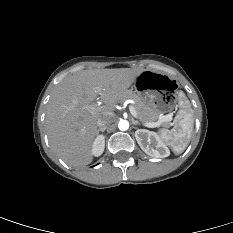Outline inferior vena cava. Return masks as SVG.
<instances>
[{
  "mask_svg": "<svg viewBox=\"0 0 233 233\" xmlns=\"http://www.w3.org/2000/svg\"><path fill=\"white\" fill-rule=\"evenodd\" d=\"M112 122H113V117L107 115L98 119L97 126L101 128H106V126L111 124Z\"/></svg>",
  "mask_w": 233,
  "mask_h": 233,
  "instance_id": "1",
  "label": "inferior vena cava"
}]
</instances>
